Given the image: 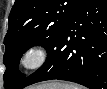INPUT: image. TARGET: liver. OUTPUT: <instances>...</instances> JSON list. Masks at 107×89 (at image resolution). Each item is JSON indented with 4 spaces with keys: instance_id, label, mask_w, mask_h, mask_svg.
<instances>
[{
    "instance_id": "6515ba94",
    "label": "liver",
    "mask_w": 107,
    "mask_h": 89,
    "mask_svg": "<svg viewBox=\"0 0 107 89\" xmlns=\"http://www.w3.org/2000/svg\"><path fill=\"white\" fill-rule=\"evenodd\" d=\"M62 85L61 83L52 82L39 85L35 89H61Z\"/></svg>"
}]
</instances>
